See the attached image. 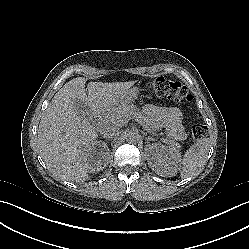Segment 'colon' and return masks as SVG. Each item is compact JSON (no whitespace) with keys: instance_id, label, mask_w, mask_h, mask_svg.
<instances>
[{"instance_id":"colon-1","label":"colon","mask_w":249,"mask_h":249,"mask_svg":"<svg viewBox=\"0 0 249 249\" xmlns=\"http://www.w3.org/2000/svg\"><path fill=\"white\" fill-rule=\"evenodd\" d=\"M147 86L158 95L164 96L178 104H185L193 99V96L183 84L164 77L155 79L153 82L148 83ZM206 133L207 130L202 125H195L192 128V136L194 139H200L204 137Z\"/></svg>"}]
</instances>
